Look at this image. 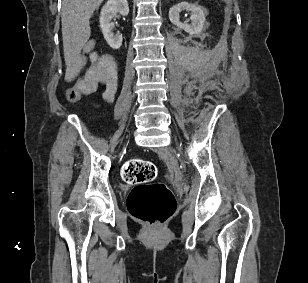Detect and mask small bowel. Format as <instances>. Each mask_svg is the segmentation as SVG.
Wrapping results in <instances>:
<instances>
[{
  "label": "small bowel",
  "mask_w": 308,
  "mask_h": 283,
  "mask_svg": "<svg viewBox=\"0 0 308 283\" xmlns=\"http://www.w3.org/2000/svg\"><path fill=\"white\" fill-rule=\"evenodd\" d=\"M85 70V73H81ZM68 77L74 79L81 77V85L86 93H93L100 84L106 89L103 97L106 101H112L117 91V71L114 60L107 55H98L95 52L89 56L77 55L69 64Z\"/></svg>",
  "instance_id": "1"
}]
</instances>
